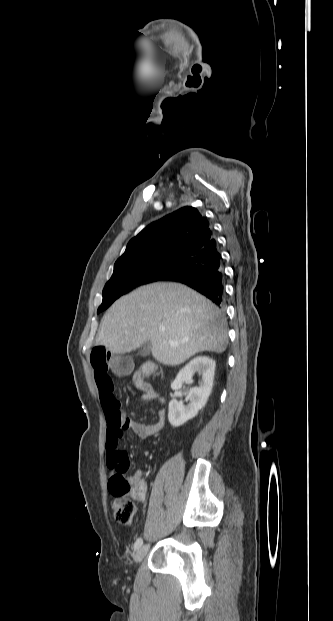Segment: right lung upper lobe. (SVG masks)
<instances>
[{
    "mask_svg": "<svg viewBox=\"0 0 333 621\" xmlns=\"http://www.w3.org/2000/svg\"><path fill=\"white\" fill-rule=\"evenodd\" d=\"M213 238L208 220L196 208L185 206L146 226L129 241L116 263L159 257L186 258Z\"/></svg>",
    "mask_w": 333,
    "mask_h": 621,
    "instance_id": "cb5924a9",
    "label": "right lung upper lobe"
}]
</instances>
